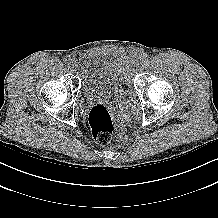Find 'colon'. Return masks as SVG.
<instances>
[{"mask_svg": "<svg viewBox=\"0 0 218 218\" xmlns=\"http://www.w3.org/2000/svg\"><path fill=\"white\" fill-rule=\"evenodd\" d=\"M89 124L94 140L99 144L108 143L113 135V118L104 105L92 107L89 113Z\"/></svg>", "mask_w": 218, "mask_h": 218, "instance_id": "colon-1", "label": "colon"}]
</instances>
